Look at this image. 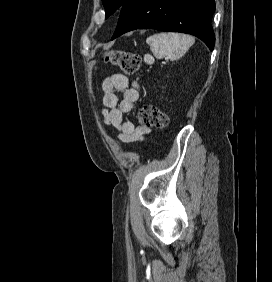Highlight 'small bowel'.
I'll use <instances>...</instances> for the list:
<instances>
[{"label":"small bowel","instance_id":"1","mask_svg":"<svg viewBox=\"0 0 272 282\" xmlns=\"http://www.w3.org/2000/svg\"><path fill=\"white\" fill-rule=\"evenodd\" d=\"M139 94V84H130L128 77L121 73L110 74L102 83V120L106 125L113 126L119 132L118 138L127 144L142 141L143 136L150 132L149 126L136 127L133 122L123 120L124 115L132 110Z\"/></svg>","mask_w":272,"mask_h":282}]
</instances>
